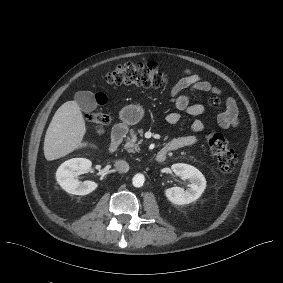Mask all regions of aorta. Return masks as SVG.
<instances>
[{
	"mask_svg": "<svg viewBox=\"0 0 283 283\" xmlns=\"http://www.w3.org/2000/svg\"><path fill=\"white\" fill-rule=\"evenodd\" d=\"M145 181V177L143 174L141 173H137L134 175L133 179H132V184L134 187H141L143 186Z\"/></svg>",
	"mask_w": 283,
	"mask_h": 283,
	"instance_id": "obj_1",
	"label": "aorta"
}]
</instances>
